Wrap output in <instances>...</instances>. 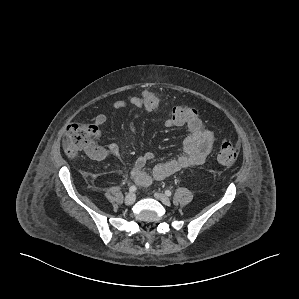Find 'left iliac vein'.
<instances>
[{"mask_svg":"<svg viewBox=\"0 0 299 299\" xmlns=\"http://www.w3.org/2000/svg\"><path fill=\"white\" fill-rule=\"evenodd\" d=\"M155 197L157 199H159L164 205H170L171 204V201L170 199L165 195V194H162V193H155L154 194Z\"/></svg>","mask_w":299,"mask_h":299,"instance_id":"obj_1","label":"left iliac vein"}]
</instances>
